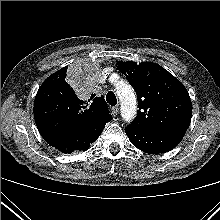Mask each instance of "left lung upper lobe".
<instances>
[{
  "label": "left lung upper lobe",
  "mask_w": 220,
  "mask_h": 220,
  "mask_svg": "<svg viewBox=\"0 0 220 220\" xmlns=\"http://www.w3.org/2000/svg\"><path fill=\"white\" fill-rule=\"evenodd\" d=\"M134 87L138 113L131 125L154 131H182L190 125L192 105L185 86L160 65L152 62L117 63Z\"/></svg>",
  "instance_id": "left-lung-upper-lobe-1"
}]
</instances>
